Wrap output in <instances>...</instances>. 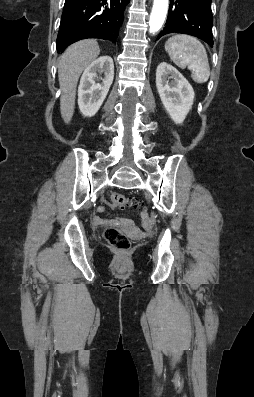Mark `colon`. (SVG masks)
<instances>
[{
    "label": "colon",
    "instance_id": "colon-1",
    "mask_svg": "<svg viewBox=\"0 0 254 397\" xmlns=\"http://www.w3.org/2000/svg\"><path fill=\"white\" fill-rule=\"evenodd\" d=\"M112 205L119 209L133 208L137 210H144V206L135 198L121 193L110 194ZM105 237L108 243L120 252H126L131 248V241L129 237L118 227L111 226L105 231Z\"/></svg>",
    "mask_w": 254,
    "mask_h": 397
}]
</instances>
